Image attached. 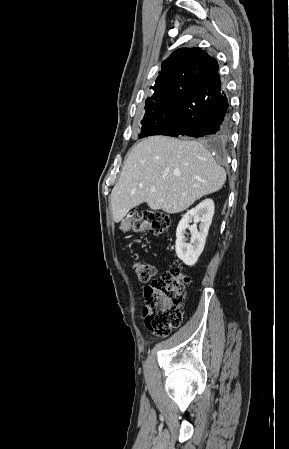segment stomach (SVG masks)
Instances as JSON below:
<instances>
[{
  "instance_id": "obj_1",
  "label": "stomach",
  "mask_w": 289,
  "mask_h": 449,
  "mask_svg": "<svg viewBox=\"0 0 289 449\" xmlns=\"http://www.w3.org/2000/svg\"><path fill=\"white\" fill-rule=\"evenodd\" d=\"M130 228H131L130 220H128V219L123 220L121 223L120 229L125 232V231H128Z\"/></svg>"
}]
</instances>
